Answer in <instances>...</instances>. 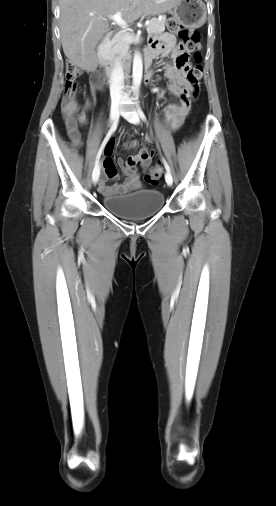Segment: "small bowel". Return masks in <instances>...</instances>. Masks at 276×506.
<instances>
[{"label":"small bowel","mask_w":276,"mask_h":506,"mask_svg":"<svg viewBox=\"0 0 276 506\" xmlns=\"http://www.w3.org/2000/svg\"><path fill=\"white\" fill-rule=\"evenodd\" d=\"M145 54L149 56L150 62L148 64L149 78H145L148 84H153V65L152 62L157 56L170 57L172 63H168L164 67V75L169 81L168 92L175 96H180L184 92L191 89L190 84L186 80V72L189 68L188 57L185 47L182 44L176 45V39L171 34H166L162 37L161 41L152 42L145 50ZM91 93L94 99L96 93L103 88L102 77L98 73H93L90 78ZM166 91L164 89L158 90V97L164 99ZM90 102H86L84 110L88 109ZM187 112L185 104L170 103L164 108V116L167 124L172 131L177 130L183 121ZM81 120L85 121L86 116L82 114ZM137 146L136 142L132 143ZM115 143L110 141L105 148V157L101 163L102 177L99 180V190L105 195L119 194L132 191L140 185V176L136 169L138 165L147 167L153 157V153L143 148L140 152L128 158L125 163L123 159L117 160V166L126 175L127 180L124 183H115L108 185L109 179L117 178V167L112 158ZM141 153H145V157H141Z\"/></svg>","instance_id":"1"}]
</instances>
